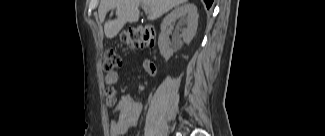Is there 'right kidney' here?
Here are the masks:
<instances>
[{
  "label": "right kidney",
  "instance_id": "right-kidney-1",
  "mask_svg": "<svg viewBox=\"0 0 325 136\" xmlns=\"http://www.w3.org/2000/svg\"><path fill=\"white\" fill-rule=\"evenodd\" d=\"M180 17L181 20L179 24L186 25V28L182 30L183 41L187 44L190 43L196 34L198 26L197 7L193 3H184L183 5L175 8L164 18L161 24V33L158 39L160 53L165 60L170 59V57L173 55V49L170 47L168 36V27Z\"/></svg>",
  "mask_w": 325,
  "mask_h": 136
}]
</instances>
